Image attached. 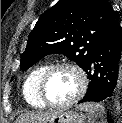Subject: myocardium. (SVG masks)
Instances as JSON below:
<instances>
[{"label":"myocardium","mask_w":122,"mask_h":123,"mask_svg":"<svg viewBox=\"0 0 122 123\" xmlns=\"http://www.w3.org/2000/svg\"><path fill=\"white\" fill-rule=\"evenodd\" d=\"M63 68L72 69L73 71H75L77 73V75L79 77V88H78V91L76 92V94L69 100L62 102V103L52 102L48 99L47 94H46L47 83H48L51 75L55 71H57L59 69H63ZM87 85H88L87 75H86L85 71L80 66H78L75 63H71V62H62V63H57V64L51 65L44 72V74L42 75L40 82H39L38 92H39V97H40L41 101L46 106L51 107V108H66V107H69V106L75 104L83 97V95L86 92Z\"/></svg>","instance_id":"f54148a6"}]
</instances>
